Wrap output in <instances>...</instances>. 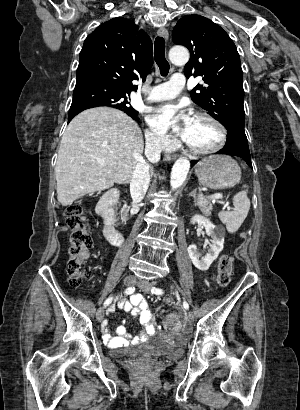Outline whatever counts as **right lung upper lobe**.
<instances>
[{
	"instance_id": "1",
	"label": "right lung upper lobe",
	"mask_w": 300,
	"mask_h": 410,
	"mask_svg": "<svg viewBox=\"0 0 300 410\" xmlns=\"http://www.w3.org/2000/svg\"><path fill=\"white\" fill-rule=\"evenodd\" d=\"M153 64L149 36L131 20L117 17L97 27L84 41L77 83H97L130 94L133 80L147 76Z\"/></svg>"
}]
</instances>
